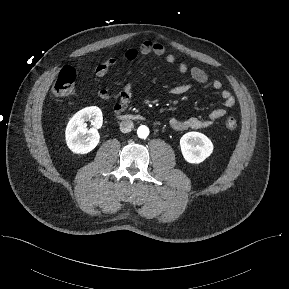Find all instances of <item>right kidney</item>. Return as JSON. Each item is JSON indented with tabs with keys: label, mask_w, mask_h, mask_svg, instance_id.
I'll list each match as a JSON object with an SVG mask.
<instances>
[{
	"label": "right kidney",
	"mask_w": 289,
	"mask_h": 289,
	"mask_svg": "<svg viewBox=\"0 0 289 289\" xmlns=\"http://www.w3.org/2000/svg\"><path fill=\"white\" fill-rule=\"evenodd\" d=\"M87 121L93 125L87 128ZM103 123L101 110L96 106L86 107L78 111L68 122L65 138L69 149L75 154H87L98 145V133Z\"/></svg>",
	"instance_id": "1"
}]
</instances>
